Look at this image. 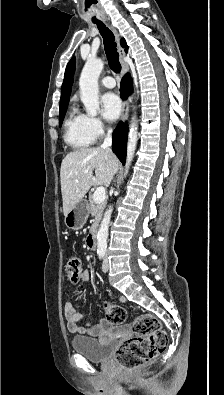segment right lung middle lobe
<instances>
[{"mask_svg":"<svg viewBox=\"0 0 224 395\" xmlns=\"http://www.w3.org/2000/svg\"><path fill=\"white\" fill-rule=\"evenodd\" d=\"M66 109H67V108H64V109L60 110V114H59V126H61L62 121H63V119H64V117H65Z\"/></svg>","mask_w":224,"mask_h":395,"instance_id":"obj_1","label":"right lung middle lobe"}]
</instances>
